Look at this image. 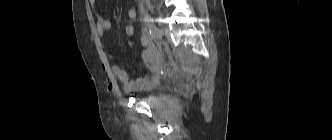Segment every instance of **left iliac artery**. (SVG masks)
<instances>
[{"mask_svg": "<svg viewBox=\"0 0 332 140\" xmlns=\"http://www.w3.org/2000/svg\"><path fill=\"white\" fill-rule=\"evenodd\" d=\"M143 20L146 23V26H147L150 34H153V32H154L153 18L149 14L145 13Z\"/></svg>", "mask_w": 332, "mask_h": 140, "instance_id": "obj_1", "label": "left iliac artery"}]
</instances>
